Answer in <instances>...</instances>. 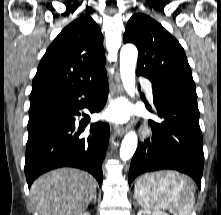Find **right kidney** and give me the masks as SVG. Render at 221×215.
Listing matches in <instances>:
<instances>
[{"mask_svg": "<svg viewBox=\"0 0 221 215\" xmlns=\"http://www.w3.org/2000/svg\"><path fill=\"white\" fill-rule=\"evenodd\" d=\"M79 215H91L89 212L80 213Z\"/></svg>", "mask_w": 221, "mask_h": 215, "instance_id": "right-kidney-1", "label": "right kidney"}]
</instances>
